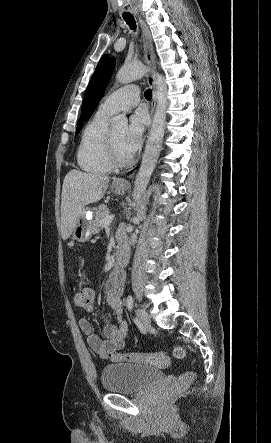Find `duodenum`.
I'll use <instances>...</instances> for the list:
<instances>
[{
    "label": "duodenum",
    "mask_w": 271,
    "mask_h": 443,
    "mask_svg": "<svg viewBox=\"0 0 271 443\" xmlns=\"http://www.w3.org/2000/svg\"><path fill=\"white\" fill-rule=\"evenodd\" d=\"M126 263V254L125 253H120L117 261H116V268H115V273L116 274H120L121 269L124 267Z\"/></svg>",
    "instance_id": "obj_1"
}]
</instances>
